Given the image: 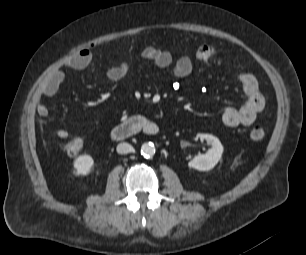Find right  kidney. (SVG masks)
Here are the masks:
<instances>
[{"label":"right kidney","mask_w":306,"mask_h":255,"mask_svg":"<svg viewBox=\"0 0 306 255\" xmlns=\"http://www.w3.org/2000/svg\"><path fill=\"white\" fill-rule=\"evenodd\" d=\"M94 160L90 155H80L77 157L73 166L77 175L86 176L91 172Z\"/></svg>","instance_id":"obj_1"}]
</instances>
